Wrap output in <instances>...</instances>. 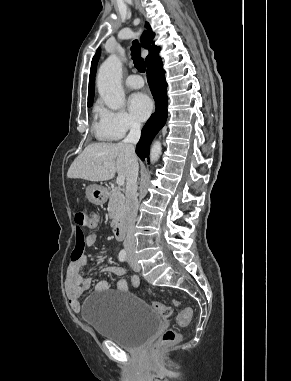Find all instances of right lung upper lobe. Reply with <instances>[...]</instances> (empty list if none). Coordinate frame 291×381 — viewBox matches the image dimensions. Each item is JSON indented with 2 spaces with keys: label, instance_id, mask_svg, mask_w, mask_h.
I'll return each mask as SVG.
<instances>
[{
  "label": "right lung upper lobe",
  "instance_id": "cb5924a9",
  "mask_svg": "<svg viewBox=\"0 0 291 381\" xmlns=\"http://www.w3.org/2000/svg\"><path fill=\"white\" fill-rule=\"evenodd\" d=\"M145 27H146V30L144 31V34L141 37V43H142V46L149 49L150 51L149 55L146 57V65L148 66L152 64L153 62H155L156 60L160 59L159 57L160 48L153 43V38L155 34L152 32L149 23H146ZM99 57H100V49L97 50L91 62V71L89 76V89H88V104L93 103L94 80H95L97 62L99 60Z\"/></svg>",
  "mask_w": 291,
  "mask_h": 381
}]
</instances>
